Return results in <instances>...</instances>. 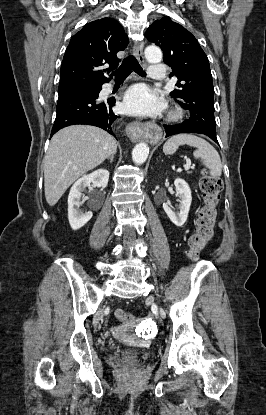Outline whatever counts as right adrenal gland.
<instances>
[{
	"label": "right adrenal gland",
	"instance_id": "1",
	"mask_svg": "<svg viewBox=\"0 0 266 415\" xmlns=\"http://www.w3.org/2000/svg\"><path fill=\"white\" fill-rule=\"evenodd\" d=\"M113 159H114V154L107 158V160H110V163L113 162Z\"/></svg>",
	"mask_w": 266,
	"mask_h": 415
}]
</instances>
